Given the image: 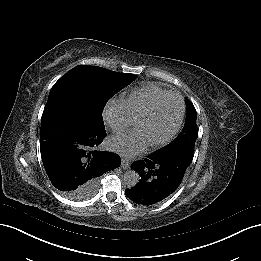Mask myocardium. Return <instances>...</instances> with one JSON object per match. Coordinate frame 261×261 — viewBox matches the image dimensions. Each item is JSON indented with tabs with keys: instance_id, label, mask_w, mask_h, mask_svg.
Listing matches in <instances>:
<instances>
[{
	"instance_id": "f54148a6",
	"label": "myocardium",
	"mask_w": 261,
	"mask_h": 261,
	"mask_svg": "<svg viewBox=\"0 0 261 261\" xmlns=\"http://www.w3.org/2000/svg\"><path fill=\"white\" fill-rule=\"evenodd\" d=\"M176 104L178 107V118L177 121L174 125V127L170 130V132L164 136L161 139L155 140V141H146L143 140L144 143H147L148 146H159L162 145L169 140H171L180 130L183 120H184V115H185V103L184 100L178 96V95H172L168 100L164 101L163 103L157 105L156 107L152 108L148 112L144 113L141 115L135 122L133 123L130 133L135 134L138 128V125L141 123V121L149 116L154 115L155 113H158L160 111L165 110L168 108L170 105Z\"/></svg>"
}]
</instances>
